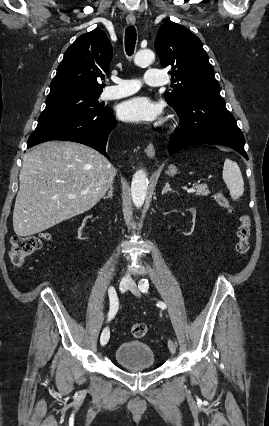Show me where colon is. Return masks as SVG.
<instances>
[{"label": "colon", "mask_w": 269, "mask_h": 426, "mask_svg": "<svg viewBox=\"0 0 269 426\" xmlns=\"http://www.w3.org/2000/svg\"><path fill=\"white\" fill-rule=\"evenodd\" d=\"M214 199L216 202L233 211L228 199L221 193L215 194ZM237 243L236 251L240 255H245L249 250V240L251 237V220L246 214L241 215L239 218V226L236 231ZM48 239L47 234H36L27 236H14L11 240V249L9 251V259L13 266L20 267L25 262L26 258L38 252ZM132 334L135 337H143L147 333V326L144 323H136L131 328Z\"/></svg>", "instance_id": "colon-1"}]
</instances>
